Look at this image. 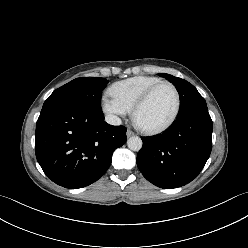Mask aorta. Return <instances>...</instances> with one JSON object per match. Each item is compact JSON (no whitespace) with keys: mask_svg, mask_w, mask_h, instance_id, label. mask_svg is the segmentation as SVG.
<instances>
[{"mask_svg":"<svg viewBox=\"0 0 248 248\" xmlns=\"http://www.w3.org/2000/svg\"><path fill=\"white\" fill-rule=\"evenodd\" d=\"M128 148L132 151H139L142 148L143 142L140 137L132 136L127 141Z\"/></svg>","mask_w":248,"mask_h":248,"instance_id":"1","label":"aorta"}]
</instances>
